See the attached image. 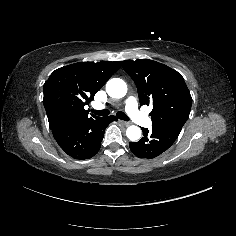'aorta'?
<instances>
[{
    "label": "aorta",
    "instance_id": "aorta-1",
    "mask_svg": "<svg viewBox=\"0 0 236 236\" xmlns=\"http://www.w3.org/2000/svg\"><path fill=\"white\" fill-rule=\"evenodd\" d=\"M107 94L112 98H121L127 92L126 83L119 78H112L107 81L105 86ZM142 132L138 126H129L126 130V136L131 141H138L141 138Z\"/></svg>",
    "mask_w": 236,
    "mask_h": 236
}]
</instances>
